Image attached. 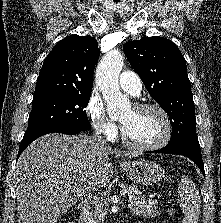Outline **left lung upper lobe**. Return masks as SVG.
<instances>
[{"mask_svg":"<svg viewBox=\"0 0 221 223\" xmlns=\"http://www.w3.org/2000/svg\"><path fill=\"white\" fill-rule=\"evenodd\" d=\"M123 50L150 95L170 118L172 135L167 145L198 142L186 61L177 46L155 36L128 41Z\"/></svg>","mask_w":221,"mask_h":223,"instance_id":"obj_1","label":"left lung upper lobe"}]
</instances>
